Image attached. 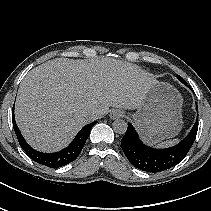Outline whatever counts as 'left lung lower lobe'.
I'll return each mask as SVG.
<instances>
[{
	"instance_id": "1",
	"label": "left lung lower lobe",
	"mask_w": 211,
	"mask_h": 211,
	"mask_svg": "<svg viewBox=\"0 0 211 211\" xmlns=\"http://www.w3.org/2000/svg\"><path fill=\"white\" fill-rule=\"evenodd\" d=\"M180 81L188 86L185 80ZM197 130L198 117L190 133L180 143L170 148L155 149L143 144L132 124L128 123L121 147L134 167L146 172H161L177 165L185 158L196 138Z\"/></svg>"
}]
</instances>
